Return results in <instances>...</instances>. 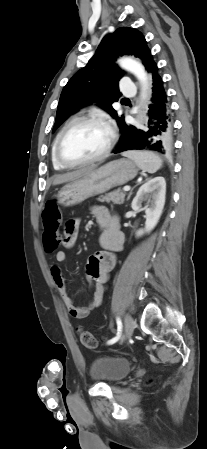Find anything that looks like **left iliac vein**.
Instances as JSON below:
<instances>
[{
	"label": "left iliac vein",
	"mask_w": 207,
	"mask_h": 449,
	"mask_svg": "<svg viewBox=\"0 0 207 449\" xmlns=\"http://www.w3.org/2000/svg\"><path fill=\"white\" fill-rule=\"evenodd\" d=\"M135 328V322L133 318L130 315H126L125 317V334L122 338V340L127 339L129 336L132 335Z\"/></svg>",
	"instance_id": "4c4485c4"
}]
</instances>
